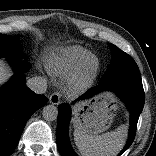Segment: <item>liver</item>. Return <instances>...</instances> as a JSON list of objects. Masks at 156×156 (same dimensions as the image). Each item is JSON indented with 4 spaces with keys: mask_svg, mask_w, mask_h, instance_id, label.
<instances>
[{
    "mask_svg": "<svg viewBox=\"0 0 156 156\" xmlns=\"http://www.w3.org/2000/svg\"><path fill=\"white\" fill-rule=\"evenodd\" d=\"M9 77L8 69L6 68L4 62L0 60V84L5 82Z\"/></svg>",
    "mask_w": 156,
    "mask_h": 156,
    "instance_id": "obj_1",
    "label": "liver"
}]
</instances>
